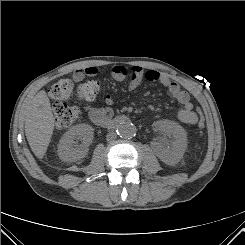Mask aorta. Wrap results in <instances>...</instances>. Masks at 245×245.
I'll use <instances>...</instances> for the list:
<instances>
[{
    "mask_svg": "<svg viewBox=\"0 0 245 245\" xmlns=\"http://www.w3.org/2000/svg\"><path fill=\"white\" fill-rule=\"evenodd\" d=\"M117 134L123 138H131L136 134V127L128 122L121 123L117 128Z\"/></svg>",
    "mask_w": 245,
    "mask_h": 245,
    "instance_id": "762f6f07",
    "label": "aorta"
}]
</instances>
